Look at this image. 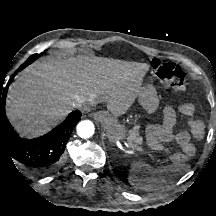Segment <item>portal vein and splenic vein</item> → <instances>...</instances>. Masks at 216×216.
I'll return each instance as SVG.
<instances>
[{
  "label": "portal vein and splenic vein",
  "instance_id": "obj_1",
  "mask_svg": "<svg viewBox=\"0 0 216 216\" xmlns=\"http://www.w3.org/2000/svg\"><path fill=\"white\" fill-rule=\"evenodd\" d=\"M127 147H129V148H133L130 144L129 145H127ZM134 149V148H133Z\"/></svg>",
  "mask_w": 216,
  "mask_h": 216
}]
</instances>
